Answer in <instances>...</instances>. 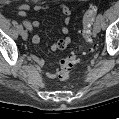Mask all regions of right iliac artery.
Segmentation results:
<instances>
[{
	"mask_svg": "<svg viewBox=\"0 0 119 119\" xmlns=\"http://www.w3.org/2000/svg\"><path fill=\"white\" fill-rule=\"evenodd\" d=\"M18 30H19L20 33L23 31V26L21 24L18 25Z\"/></svg>",
	"mask_w": 119,
	"mask_h": 119,
	"instance_id": "right-iliac-artery-1",
	"label": "right iliac artery"
}]
</instances>
